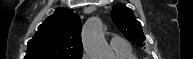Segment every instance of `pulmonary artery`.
I'll use <instances>...</instances> for the list:
<instances>
[{
    "label": "pulmonary artery",
    "instance_id": "pulmonary-artery-1",
    "mask_svg": "<svg viewBox=\"0 0 193 59\" xmlns=\"http://www.w3.org/2000/svg\"><path fill=\"white\" fill-rule=\"evenodd\" d=\"M110 42L114 51L130 49V45L125 42L121 36L117 34L112 35Z\"/></svg>",
    "mask_w": 193,
    "mask_h": 59
}]
</instances>
